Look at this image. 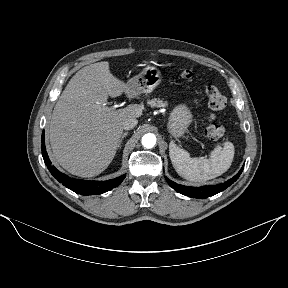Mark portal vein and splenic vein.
I'll use <instances>...</instances> for the list:
<instances>
[{"mask_svg": "<svg viewBox=\"0 0 288 288\" xmlns=\"http://www.w3.org/2000/svg\"><path fill=\"white\" fill-rule=\"evenodd\" d=\"M102 108L105 110V111H112L115 109V106H112V107H107L105 106V104L102 105Z\"/></svg>", "mask_w": 288, "mask_h": 288, "instance_id": "portal-vein-and-splenic-vein-1", "label": "portal vein and splenic vein"}]
</instances>
